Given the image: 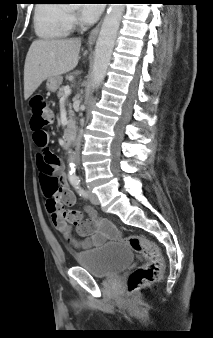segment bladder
<instances>
[{"label":"bladder","mask_w":213,"mask_h":338,"mask_svg":"<svg viewBox=\"0 0 213 338\" xmlns=\"http://www.w3.org/2000/svg\"><path fill=\"white\" fill-rule=\"evenodd\" d=\"M74 259L77 266L93 277L110 278L126 269L134 261V254L124 243L108 242L87 253L77 254Z\"/></svg>","instance_id":"31cf9c89"}]
</instances>
